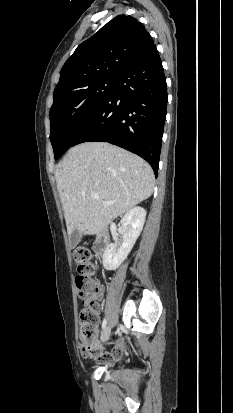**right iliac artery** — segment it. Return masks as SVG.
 Masks as SVG:
<instances>
[{
    "mask_svg": "<svg viewBox=\"0 0 233 413\" xmlns=\"http://www.w3.org/2000/svg\"><path fill=\"white\" fill-rule=\"evenodd\" d=\"M107 324V320L106 318H104L103 322H102V329H104L106 327Z\"/></svg>",
    "mask_w": 233,
    "mask_h": 413,
    "instance_id": "obj_1",
    "label": "right iliac artery"
}]
</instances>
